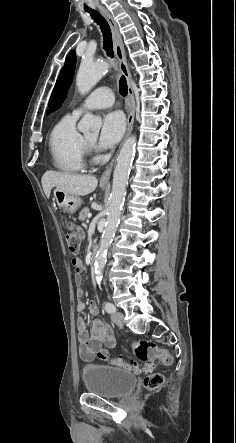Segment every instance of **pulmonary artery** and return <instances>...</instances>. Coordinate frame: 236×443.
<instances>
[{
	"label": "pulmonary artery",
	"instance_id": "obj_1",
	"mask_svg": "<svg viewBox=\"0 0 236 443\" xmlns=\"http://www.w3.org/2000/svg\"><path fill=\"white\" fill-rule=\"evenodd\" d=\"M114 103V95L110 88L100 87L92 91L83 101L81 106L74 109L75 116L80 115L86 109H99L110 107Z\"/></svg>",
	"mask_w": 236,
	"mask_h": 443
}]
</instances>
